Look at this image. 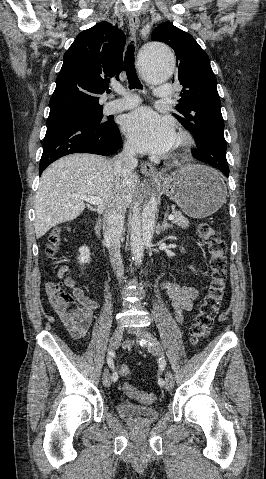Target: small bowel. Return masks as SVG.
<instances>
[{
	"label": "small bowel",
	"mask_w": 266,
	"mask_h": 479,
	"mask_svg": "<svg viewBox=\"0 0 266 479\" xmlns=\"http://www.w3.org/2000/svg\"><path fill=\"white\" fill-rule=\"evenodd\" d=\"M60 276L62 283L49 282L46 285L48 302L71 335L81 339L92 326L98 303L88 297L72 277L65 273ZM62 284L68 287L71 293L65 292ZM164 289L170 299L176 320L182 323L184 313L192 310L193 301L198 297V290L195 287L182 286L170 281L164 284Z\"/></svg>",
	"instance_id": "c3829d8e"
}]
</instances>
